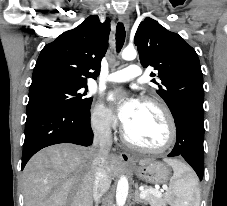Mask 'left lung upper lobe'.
I'll return each instance as SVG.
<instances>
[{"instance_id":"1","label":"left lung upper lobe","mask_w":227,"mask_h":206,"mask_svg":"<svg viewBox=\"0 0 227 206\" xmlns=\"http://www.w3.org/2000/svg\"><path fill=\"white\" fill-rule=\"evenodd\" d=\"M134 43L144 68L158 71L156 92L168 105L172 115L185 106L203 108V75L195 50L178 34L165 29L152 18L140 23ZM155 76L154 73L151 74Z\"/></svg>"}]
</instances>
